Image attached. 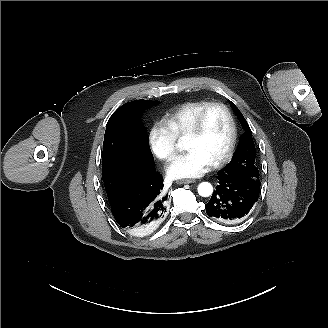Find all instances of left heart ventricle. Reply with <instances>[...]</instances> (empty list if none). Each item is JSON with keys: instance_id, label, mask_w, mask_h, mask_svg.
Returning <instances> with one entry per match:
<instances>
[{"instance_id": "obj_1", "label": "left heart ventricle", "mask_w": 328, "mask_h": 328, "mask_svg": "<svg viewBox=\"0 0 328 328\" xmlns=\"http://www.w3.org/2000/svg\"><path fill=\"white\" fill-rule=\"evenodd\" d=\"M231 135L227 114L221 109H213L207 115L201 132L196 137L184 139L183 145L186 150L200 151L213 163L225 153Z\"/></svg>"}]
</instances>
